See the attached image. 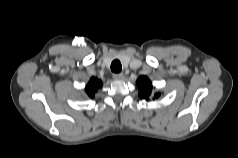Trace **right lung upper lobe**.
<instances>
[{
  "mask_svg": "<svg viewBox=\"0 0 238 158\" xmlns=\"http://www.w3.org/2000/svg\"><path fill=\"white\" fill-rule=\"evenodd\" d=\"M102 87V82L101 80L95 78V77H92L90 79V81L88 82L85 90L88 94L89 97L93 98L94 97V94L95 92H97V90Z\"/></svg>",
  "mask_w": 238,
  "mask_h": 158,
  "instance_id": "1",
  "label": "right lung upper lobe"
}]
</instances>
